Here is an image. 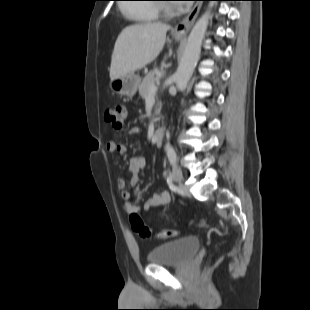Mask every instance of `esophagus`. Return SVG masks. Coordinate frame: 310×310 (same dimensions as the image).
Here are the masks:
<instances>
[{
	"mask_svg": "<svg viewBox=\"0 0 310 310\" xmlns=\"http://www.w3.org/2000/svg\"><path fill=\"white\" fill-rule=\"evenodd\" d=\"M202 4L197 2L187 16L179 22L173 29V34L179 37H185L194 24Z\"/></svg>",
	"mask_w": 310,
	"mask_h": 310,
	"instance_id": "34e87169",
	"label": "esophagus"
}]
</instances>
